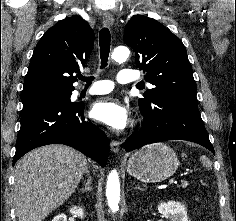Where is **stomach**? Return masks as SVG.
Listing matches in <instances>:
<instances>
[{
	"mask_svg": "<svg viewBox=\"0 0 236 221\" xmlns=\"http://www.w3.org/2000/svg\"><path fill=\"white\" fill-rule=\"evenodd\" d=\"M179 160L172 148L153 143L136 151L128 160L127 172L145 183L162 182L177 170Z\"/></svg>",
	"mask_w": 236,
	"mask_h": 221,
	"instance_id": "stomach-1",
	"label": "stomach"
}]
</instances>
